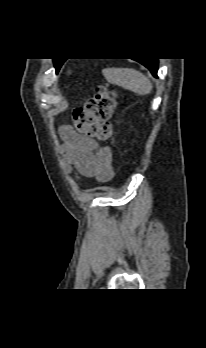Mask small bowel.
I'll return each mask as SVG.
<instances>
[{
  "label": "small bowel",
  "mask_w": 206,
  "mask_h": 348,
  "mask_svg": "<svg viewBox=\"0 0 206 348\" xmlns=\"http://www.w3.org/2000/svg\"><path fill=\"white\" fill-rule=\"evenodd\" d=\"M60 134L64 141L63 154L70 169L80 176L102 182L113 177L112 153L108 146L78 134L70 126H62Z\"/></svg>",
  "instance_id": "small-bowel-1"
}]
</instances>
